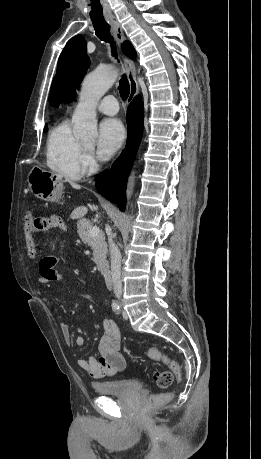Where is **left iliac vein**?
I'll return each instance as SVG.
<instances>
[{"label":"left iliac vein","mask_w":261,"mask_h":459,"mask_svg":"<svg viewBox=\"0 0 261 459\" xmlns=\"http://www.w3.org/2000/svg\"><path fill=\"white\" fill-rule=\"evenodd\" d=\"M122 316H123V318H124L125 320L128 319V313H127L126 310H122Z\"/></svg>","instance_id":"4c4485c4"}]
</instances>
